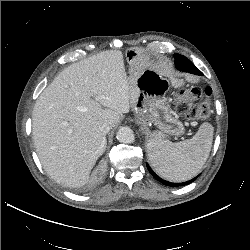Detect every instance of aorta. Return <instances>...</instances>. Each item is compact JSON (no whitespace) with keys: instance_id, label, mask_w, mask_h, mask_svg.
<instances>
[{"instance_id":"762f6f07","label":"aorta","mask_w":250,"mask_h":250,"mask_svg":"<svg viewBox=\"0 0 250 250\" xmlns=\"http://www.w3.org/2000/svg\"><path fill=\"white\" fill-rule=\"evenodd\" d=\"M116 138L119 142L129 144L135 140V135L130 127H120L116 133Z\"/></svg>"}]
</instances>
